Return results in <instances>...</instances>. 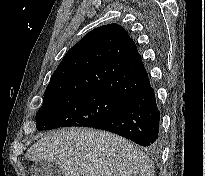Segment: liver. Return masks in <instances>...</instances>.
I'll use <instances>...</instances> for the list:
<instances>
[{
  "mask_svg": "<svg viewBox=\"0 0 205 176\" xmlns=\"http://www.w3.org/2000/svg\"><path fill=\"white\" fill-rule=\"evenodd\" d=\"M25 157L54 162L64 176H154L153 162L138 147L119 135L93 129L51 131Z\"/></svg>",
  "mask_w": 205,
  "mask_h": 176,
  "instance_id": "1",
  "label": "liver"
}]
</instances>
